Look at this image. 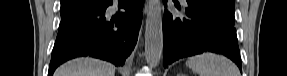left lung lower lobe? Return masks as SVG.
<instances>
[{"label":"left lung lower lobe","instance_id":"left-lung-lower-lobe-1","mask_svg":"<svg viewBox=\"0 0 287 76\" xmlns=\"http://www.w3.org/2000/svg\"><path fill=\"white\" fill-rule=\"evenodd\" d=\"M166 5L167 0H163ZM163 65L203 52L227 56L241 70L236 29L222 18L190 3L184 17L165 9L163 17Z\"/></svg>","mask_w":287,"mask_h":76}]
</instances>
